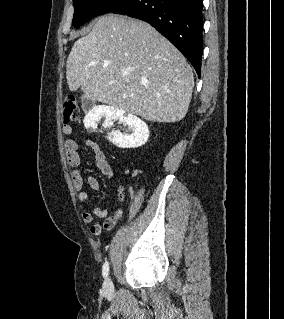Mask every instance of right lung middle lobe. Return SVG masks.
Listing matches in <instances>:
<instances>
[{
    "instance_id": "1",
    "label": "right lung middle lobe",
    "mask_w": 284,
    "mask_h": 319,
    "mask_svg": "<svg viewBox=\"0 0 284 319\" xmlns=\"http://www.w3.org/2000/svg\"><path fill=\"white\" fill-rule=\"evenodd\" d=\"M129 0H73V26L79 27L91 18L112 12Z\"/></svg>"
}]
</instances>
